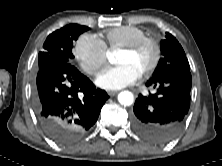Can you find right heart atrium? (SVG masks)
<instances>
[{
	"mask_svg": "<svg viewBox=\"0 0 222 166\" xmlns=\"http://www.w3.org/2000/svg\"><path fill=\"white\" fill-rule=\"evenodd\" d=\"M73 54L82 71L94 76L106 63L107 48L96 35L84 33L76 41Z\"/></svg>",
	"mask_w": 222,
	"mask_h": 166,
	"instance_id": "obj_1",
	"label": "right heart atrium"
}]
</instances>
